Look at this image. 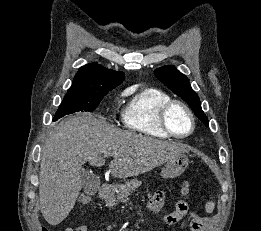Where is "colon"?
<instances>
[{
	"mask_svg": "<svg viewBox=\"0 0 261 231\" xmlns=\"http://www.w3.org/2000/svg\"><path fill=\"white\" fill-rule=\"evenodd\" d=\"M189 183L185 182L182 186V194H187L189 191ZM90 202V198L87 196H82L79 200L78 203L82 205H86ZM209 219L207 217L203 216H195L190 219V229L191 231H202V229L206 228L209 226Z\"/></svg>",
	"mask_w": 261,
	"mask_h": 231,
	"instance_id": "colon-1",
	"label": "colon"
}]
</instances>
